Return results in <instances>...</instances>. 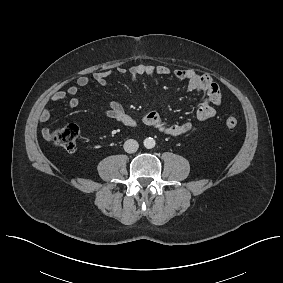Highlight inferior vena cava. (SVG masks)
<instances>
[{
	"label": "inferior vena cava",
	"instance_id": "inferior-vena-cava-1",
	"mask_svg": "<svg viewBox=\"0 0 283 283\" xmlns=\"http://www.w3.org/2000/svg\"><path fill=\"white\" fill-rule=\"evenodd\" d=\"M138 148H139V144L134 139H129V140L125 141V143H124V150L127 153H134L138 150Z\"/></svg>",
	"mask_w": 283,
	"mask_h": 283
}]
</instances>
